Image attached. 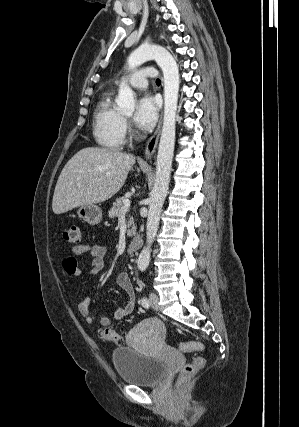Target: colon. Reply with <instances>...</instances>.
I'll list each match as a JSON object with an SVG mask.
<instances>
[{"label": "colon", "mask_w": 299, "mask_h": 427, "mask_svg": "<svg viewBox=\"0 0 299 427\" xmlns=\"http://www.w3.org/2000/svg\"><path fill=\"white\" fill-rule=\"evenodd\" d=\"M63 238L67 243L71 245L79 244L81 239L79 226L74 225L66 229L64 231ZM98 333L102 339L107 340L109 342L122 344L125 340L124 334L110 328L100 327L98 330ZM180 349L184 352L201 351L204 349V346L201 342L190 341V342L182 343L180 345ZM204 365H205V359L201 356L196 357L193 360V362L185 364L178 376V380H177L178 388L180 389L184 388L187 382L193 376H195L197 372L203 368Z\"/></svg>", "instance_id": "5ec220e1"}]
</instances>
